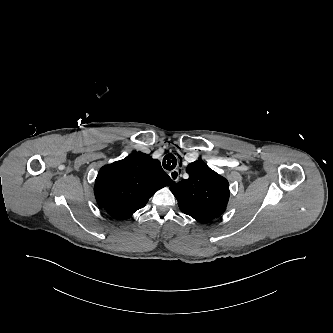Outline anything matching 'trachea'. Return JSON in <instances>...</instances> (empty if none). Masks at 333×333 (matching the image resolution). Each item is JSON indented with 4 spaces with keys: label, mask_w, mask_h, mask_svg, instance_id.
I'll use <instances>...</instances> for the list:
<instances>
[{
    "label": "trachea",
    "mask_w": 333,
    "mask_h": 333,
    "mask_svg": "<svg viewBox=\"0 0 333 333\" xmlns=\"http://www.w3.org/2000/svg\"><path fill=\"white\" fill-rule=\"evenodd\" d=\"M177 160L173 154H167L163 159V167L166 170H173L176 167Z\"/></svg>",
    "instance_id": "3493384b"
}]
</instances>
